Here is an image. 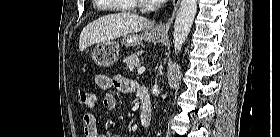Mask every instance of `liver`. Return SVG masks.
<instances>
[{"instance_id": "6515ba94", "label": "liver", "mask_w": 280, "mask_h": 137, "mask_svg": "<svg viewBox=\"0 0 280 137\" xmlns=\"http://www.w3.org/2000/svg\"><path fill=\"white\" fill-rule=\"evenodd\" d=\"M151 23L152 21L145 17L128 12L100 17L83 28L79 38V50L82 52L95 43H105L129 33L140 32Z\"/></svg>"}]
</instances>
